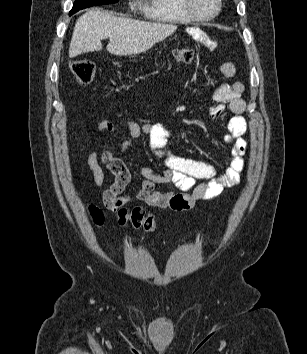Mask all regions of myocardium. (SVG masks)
Listing matches in <instances>:
<instances>
[{
  "mask_svg": "<svg viewBox=\"0 0 307 354\" xmlns=\"http://www.w3.org/2000/svg\"><path fill=\"white\" fill-rule=\"evenodd\" d=\"M182 10L185 12L187 16H189L192 20L200 21V22H207L214 19L220 12L222 7V0H216V9L215 11L208 16H201L198 15L192 8V1L191 0H180Z\"/></svg>",
  "mask_w": 307,
  "mask_h": 354,
  "instance_id": "1",
  "label": "myocardium"
}]
</instances>
